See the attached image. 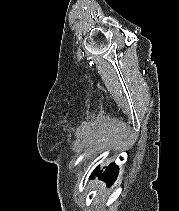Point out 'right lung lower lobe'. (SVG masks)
I'll use <instances>...</instances> for the list:
<instances>
[{"label": "right lung lower lobe", "mask_w": 179, "mask_h": 211, "mask_svg": "<svg viewBox=\"0 0 179 211\" xmlns=\"http://www.w3.org/2000/svg\"><path fill=\"white\" fill-rule=\"evenodd\" d=\"M95 175L100 176L103 180L106 181V183L110 186L112 185L118 175V166L115 163H112L109 165V167L106 168L104 173L99 172V168L97 167L91 174L90 179L94 178Z\"/></svg>", "instance_id": "right-lung-lower-lobe-1"}]
</instances>
